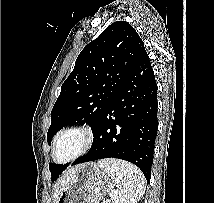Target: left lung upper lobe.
Returning <instances> with one entry per match:
<instances>
[{"label": "left lung upper lobe", "instance_id": "obj_1", "mask_svg": "<svg viewBox=\"0 0 214 203\" xmlns=\"http://www.w3.org/2000/svg\"><path fill=\"white\" fill-rule=\"evenodd\" d=\"M144 52L142 39L125 21L112 23L85 46L51 111L48 143L67 125L88 124L94 133L100 117ZM68 165L49 164L52 181Z\"/></svg>", "mask_w": 214, "mask_h": 203}]
</instances>
